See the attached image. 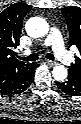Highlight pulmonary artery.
Instances as JSON below:
<instances>
[{"label": "pulmonary artery", "instance_id": "pulmonary-artery-1", "mask_svg": "<svg viewBox=\"0 0 81 124\" xmlns=\"http://www.w3.org/2000/svg\"><path fill=\"white\" fill-rule=\"evenodd\" d=\"M45 45H51L55 56L62 63L69 65L72 63L71 55L65 50L62 36L57 29H51L45 40Z\"/></svg>", "mask_w": 81, "mask_h": 124}]
</instances>
